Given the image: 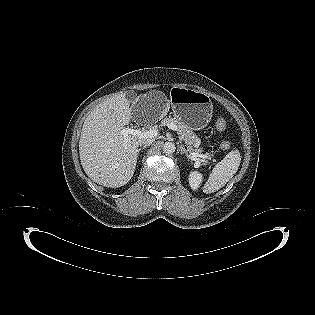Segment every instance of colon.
Segmentation results:
<instances>
[{
  "mask_svg": "<svg viewBox=\"0 0 315 315\" xmlns=\"http://www.w3.org/2000/svg\"><path fill=\"white\" fill-rule=\"evenodd\" d=\"M215 127L218 131H225L227 128V122L223 118H218L215 122ZM221 147L223 149H229L230 148V143L225 141L222 143Z\"/></svg>",
  "mask_w": 315,
  "mask_h": 315,
  "instance_id": "1",
  "label": "colon"
}]
</instances>
